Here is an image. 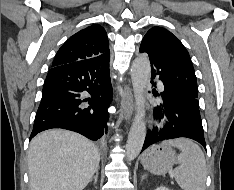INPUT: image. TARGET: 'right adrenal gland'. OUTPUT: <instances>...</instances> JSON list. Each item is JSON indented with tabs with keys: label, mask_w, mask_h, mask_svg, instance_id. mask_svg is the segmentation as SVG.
<instances>
[{
	"label": "right adrenal gland",
	"mask_w": 234,
	"mask_h": 190,
	"mask_svg": "<svg viewBox=\"0 0 234 190\" xmlns=\"http://www.w3.org/2000/svg\"><path fill=\"white\" fill-rule=\"evenodd\" d=\"M93 179H94V184L96 185L98 181V170L95 172V176L90 180V182H92Z\"/></svg>",
	"instance_id": "obj_1"
}]
</instances>
